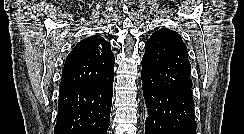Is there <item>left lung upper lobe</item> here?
Masks as SVG:
<instances>
[{
    "instance_id": "left-lung-upper-lobe-1",
    "label": "left lung upper lobe",
    "mask_w": 244,
    "mask_h": 134,
    "mask_svg": "<svg viewBox=\"0 0 244 134\" xmlns=\"http://www.w3.org/2000/svg\"><path fill=\"white\" fill-rule=\"evenodd\" d=\"M142 70L165 88L191 91V67L181 36L170 29L155 31L145 43Z\"/></svg>"
}]
</instances>
